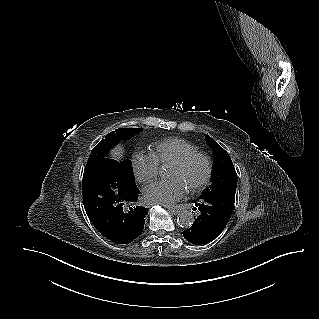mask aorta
<instances>
[{
	"label": "aorta",
	"mask_w": 319,
	"mask_h": 319,
	"mask_svg": "<svg viewBox=\"0 0 319 319\" xmlns=\"http://www.w3.org/2000/svg\"><path fill=\"white\" fill-rule=\"evenodd\" d=\"M194 222V215L189 210H183L178 214L177 223L182 228H190Z\"/></svg>",
	"instance_id": "obj_1"
}]
</instances>
